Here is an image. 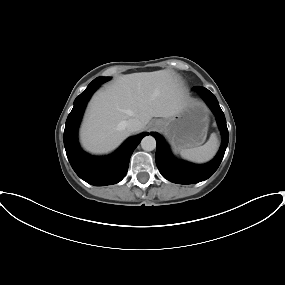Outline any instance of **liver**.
<instances>
[{
    "label": "liver",
    "mask_w": 285,
    "mask_h": 285,
    "mask_svg": "<svg viewBox=\"0 0 285 285\" xmlns=\"http://www.w3.org/2000/svg\"><path fill=\"white\" fill-rule=\"evenodd\" d=\"M188 105L178 77L170 70L120 76L91 99L81 128V142L92 153H107L129 135L125 122L170 118Z\"/></svg>",
    "instance_id": "1"
}]
</instances>
